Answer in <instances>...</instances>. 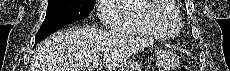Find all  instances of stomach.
<instances>
[{"label":"stomach","mask_w":230,"mask_h":71,"mask_svg":"<svg viewBox=\"0 0 230 71\" xmlns=\"http://www.w3.org/2000/svg\"><path fill=\"white\" fill-rule=\"evenodd\" d=\"M159 71H172L176 68L178 59L176 55L169 50H162L156 54ZM122 71H140L137 66H128L122 68Z\"/></svg>","instance_id":"obj_1"}]
</instances>
